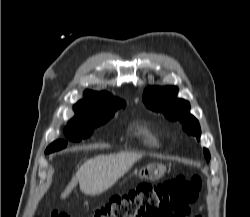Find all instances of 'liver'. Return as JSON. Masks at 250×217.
Masks as SVG:
<instances>
[{
	"mask_svg": "<svg viewBox=\"0 0 250 217\" xmlns=\"http://www.w3.org/2000/svg\"><path fill=\"white\" fill-rule=\"evenodd\" d=\"M141 158V154L126 152L91 158L78 169L61 198L65 199L78 182L84 194H101L112 187Z\"/></svg>",
	"mask_w": 250,
	"mask_h": 217,
	"instance_id": "obj_1",
	"label": "liver"
}]
</instances>
